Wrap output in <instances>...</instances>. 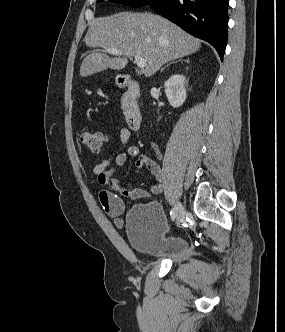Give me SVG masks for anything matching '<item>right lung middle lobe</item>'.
<instances>
[{
  "label": "right lung middle lobe",
  "mask_w": 285,
  "mask_h": 332,
  "mask_svg": "<svg viewBox=\"0 0 285 332\" xmlns=\"http://www.w3.org/2000/svg\"><path fill=\"white\" fill-rule=\"evenodd\" d=\"M103 1V0H98ZM118 3H122L127 6L141 7L150 4L153 0H112Z\"/></svg>",
  "instance_id": "obj_1"
}]
</instances>
